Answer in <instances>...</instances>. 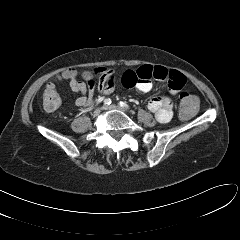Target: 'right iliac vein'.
I'll list each match as a JSON object with an SVG mask.
<instances>
[{
	"label": "right iliac vein",
	"mask_w": 240,
	"mask_h": 240,
	"mask_svg": "<svg viewBox=\"0 0 240 240\" xmlns=\"http://www.w3.org/2000/svg\"><path fill=\"white\" fill-rule=\"evenodd\" d=\"M102 109H103V108H97V109L93 112V116H94V117L98 116V115L100 114V112H101Z\"/></svg>",
	"instance_id": "right-iliac-vein-1"
}]
</instances>
